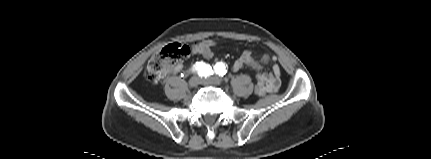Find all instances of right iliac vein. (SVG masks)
<instances>
[{
	"label": "right iliac vein",
	"instance_id": "obj_1",
	"mask_svg": "<svg viewBox=\"0 0 431 159\" xmlns=\"http://www.w3.org/2000/svg\"><path fill=\"white\" fill-rule=\"evenodd\" d=\"M199 83H200V78L198 76H193L188 81V85L190 88L197 87Z\"/></svg>",
	"mask_w": 431,
	"mask_h": 159
}]
</instances>
